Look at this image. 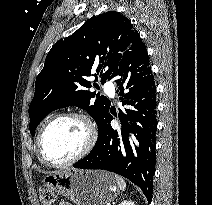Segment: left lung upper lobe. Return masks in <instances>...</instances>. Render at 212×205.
I'll return each mask as SVG.
<instances>
[{"label": "left lung upper lobe", "instance_id": "1", "mask_svg": "<svg viewBox=\"0 0 212 205\" xmlns=\"http://www.w3.org/2000/svg\"><path fill=\"white\" fill-rule=\"evenodd\" d=\"M139 33L121 13L100 14L71 36L59 40L49 51L45 65L35 82L34 98L29 106V129L34 136L41 120L53 110L77 106L88 112L99 126L110 108V101L87 89L104 84ZM96 97L95 102L91 99Z\"/></svg>", "mask_w": 212, "mask_h": 205}]
</instances>
